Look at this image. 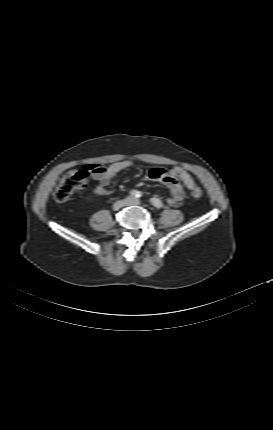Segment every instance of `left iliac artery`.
Returning a JSON list of instances; mask_svg holds the SVG:
<instances>
[{"label":"left iliac artery","instance_id":"left-iliac-artery-1","mask_svg":"<svg viewBox=\"0 0 273 430\" xmlns=\"http://www.w3.org/2000/svg\"><path fill=\"white\" fill-rule=\"evenodd\" d=\"M151 203L155 206V207H157V208H161V207H163V203L161 202V200L160 199H158V198H152L151 199Z\"/></svg>","mask_w":273,"mask_h":430}]
</instances>
